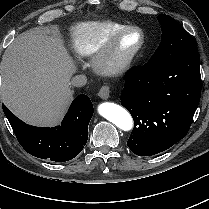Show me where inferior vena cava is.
Returning <instances> with one entry per match:
<instances>
[{
  "instance_id": "1",
  "label": "inferior vena cava",
  "mask_w": 209,
  "mask_h": 209,
  "mask_svg": "<svg viewBox=\"0 0 209 209\" xmlns=\"http://www.w3.org/2000/svg\"><path fill=\"white\" fill-rule=\"evenodd\" d=\"M86 83H87V77L83 74L76 75L71 80V84L75 87H82L86 85Z\"/></svg>"
}]
</instances>
